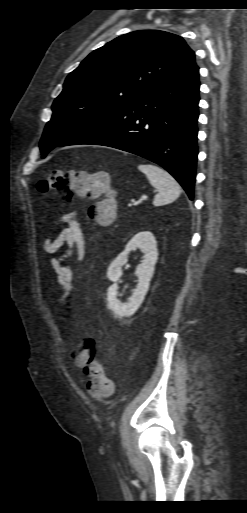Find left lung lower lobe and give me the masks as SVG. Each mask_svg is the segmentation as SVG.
<instances>
[{"label": "left lung lower lobe", "instance_id": "0a47b994", "mask_svg": "<svg viewBox=\"0 0 247 513\" xmlns=\"http://www.w3.org/2000/svg\"><path fill=\"white\" fill-rule=\"evenodd\" d=\"M198 71L194 58L168 81L61 146L103 145L144 157L173 175L193 200L198 155Z\"/></svg>", "mask_w": 247, "mask_h": 513}]
</instances>
